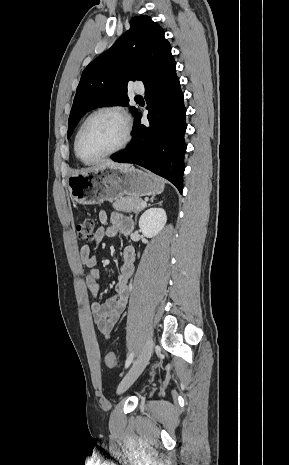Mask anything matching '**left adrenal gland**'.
Returning a JSON list of instances; mask_svg holds the SVG:
<instances>
[{
  "label": "left adrenal gland",
  "mask_w": 289,
  "mask_h": 465,
  "mask_svg": "<svg viewBox=\"0 0 289 465\" xmlns=\"http://www.w3.org/2000/svg\"><path fill=\"white\" fill-rule=\"evenodd\" d=\"M159 204L161 205L162 201H160ZM137 215H138V213L136 214L135 221L137 220Z\"/></svg>",
  "instance_id": "1"
}]
</instances>
